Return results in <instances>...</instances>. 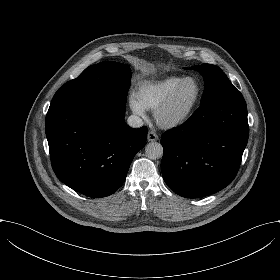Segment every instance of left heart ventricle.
Masks as SVG:
<instances>
[{"mask_svg": "<svg viewBox=\"0 0 280 280\" xmlns=\"http://www.w3.org/2000/svg\"><path fill=\"white\" fill-rule=\"evenodd\" d=\"M198 94V82L194 79L186 81L181 91L175 98L172 113L180 114L190 109L195 104Z\"/></svg>", "mask_w": 280, "mask_h": 280, "instance_id": "obj_1", "label": "left heart ventricle"}]
</instances>
